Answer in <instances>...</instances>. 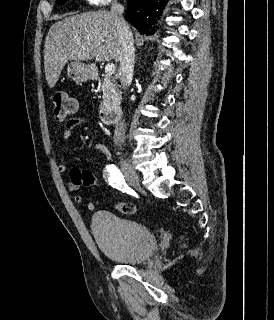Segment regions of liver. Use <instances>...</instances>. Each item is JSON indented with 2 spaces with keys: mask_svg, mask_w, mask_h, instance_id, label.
Returning <instances> with one entry per match:
<instances>
[{
  "mask_svg": "<svg viewBox=\"0 0 274 320\" xmlns=\"http://www.w3.org/2000/svg\"><path fill=\"white\" fill-rule=\"evenodd\" d=\"M121 42L111 12H85L51 26L44 46V70L54 88L63 66L75 62H120Z\"/></svg>",
  "mask_w": 274,
  "mask_h": 320,
  "instance_id": "6515ba94",
  "label": "liver"
}]
</instances>
